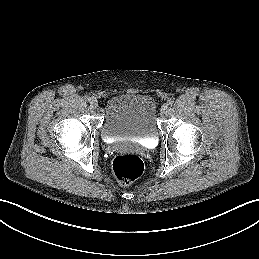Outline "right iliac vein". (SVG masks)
I'll return each instance as SVG.
<instances>
[{
  "label": "right iliac vein",
  "instance_id": "1",
  "mask_svg": "<svg viewBox=\"0 0 259 259\" xmlns=\"http://www.w3.org/2000/svg\"><path fill=\"white\" fill-rule=\"evenodd\" d=\"M90 106L92 109H96L98 107V102L96 100H91Z\"/></svg>",
  "mask_w": 259,
  "mask_h": 259
}]
</instances>
